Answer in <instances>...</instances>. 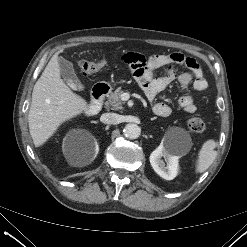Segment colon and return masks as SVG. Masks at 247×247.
Instances as JSON below:
<instances>
[{
    "instance_id": "colon-1",
    "label": "colon",
    "mask_w": 247,
    "mask_h": 247,
    "mask_svg": "<svg viewBox=\"0 0 247 247\" xmlns=\"http://www.w3.org/2000/svg\"><path fill=\"white\" fill-rule=\"evenodd\" d=\"M106 63L104 58L98 61H81L79 64L80 71L83 75H90L101 69ZM188 128L194 133H202L206 129L205 122L197 115H192L187 119Z\"/></svg>"
}]
</instances>
